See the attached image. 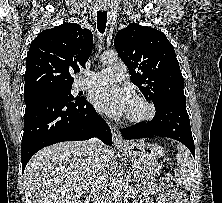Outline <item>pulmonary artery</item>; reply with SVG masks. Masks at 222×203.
<instances>
[{
  "label": "pulmonary artery",
  "instance_id": "obj_1",
  "mask_svg": "<svg viewBox=\"0 0 222 203\" xmlns=\"http://www.w3.org/2000/svg\"><path fill=\"white\" fill-rule=\"evenodd\" d=\"M126 76V66L123 63H116L109 68L98 72L88 73L85 78L78 81V88L86 89L93 86L120 81Z\"/></svg>",
  "mask_w": 222,
  "mask_h": 203
}]
</instances>
